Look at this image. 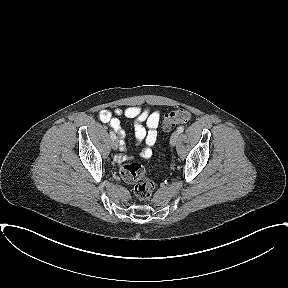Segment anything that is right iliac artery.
Masks as SVG:
<instances>
[{"instance_id": "obj_1", "label": "right iliac artery", "mask_w": 288, "mask_h": 288, "mask_svg": "<svg viewBox=\"0 0 288 288\" xmlns=\"http://www.w3.org/2000/svg\"><path fill=\"white\" fill-rule=\"evenodd\" d=\"M110 137H111V139H115L116 138V135L114 134L113 131H110Z\"/></svg>"}]
</instances>
